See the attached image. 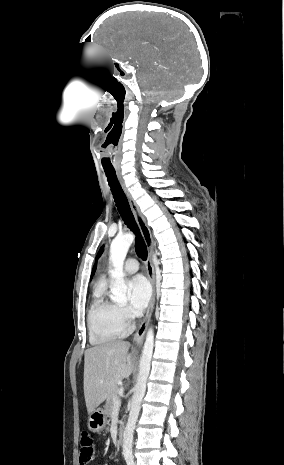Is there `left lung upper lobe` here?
Masks as SVG:
<instances>
[{"mask_svg": "<svg viewBox=\"0 0 284 465\" xmlns=\"http://www.w3.org/2000/svg\"><path fill=\"white\" fill-rule=\"evenodd\" d=\"M102 252H103V247H101V249H100V251L98 252V254H97V257H96V258H98V257H99V256L102 254Z\"/></svg>", "mask_w": 284, "mask_h": 465, "instance_id": "5c2ea615", "label": "left lung upper lobe"}]
</instances>
